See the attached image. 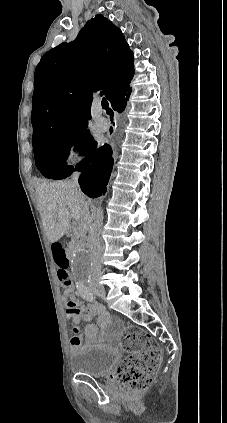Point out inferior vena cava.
Returning <instances> with one entry per match:
<instances>
[{
    "label": "inferior vena cava",
    "mask_w": 227,
    "mask_h": 423,
    "mask_svg": "<svg viewBox=\"0 0 227 423\" xmlns=\"http://www.w3.org/2000/svg\"><path fill=\"white\" fill-rule=\"evenodd\" d=\"M79 176L80 172H75L72 178V182H74L77 188H79ZM100 223H102L101 217H98V215H90L88 206L86 202H84L82 227L88 231L89 255L91 257V271L88 277L89 281H99L101 277L100 255L102 253V247L101 239L98 233V225H100Z\"/></svg>",
    "instance_id": "602c4592"
}]
</instances>
